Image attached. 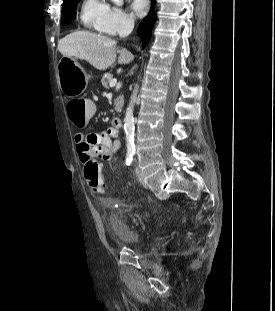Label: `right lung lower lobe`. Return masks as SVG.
I'll return each mask as SVG.
<instances>
[{
	"label": "right lung lower lobe",
	"mask_w": 275,
	"mask_h": 311,
	"mask_svg": "<svg viewBox=\"0 0 275 311\" xmlns=\"http://www.w3.org/2000/svg\"><path fill=\"white\" fill-rule=\"evenodd\" d=\"M154 15H155V0H152V7L149 11V14L147 17H145L142 22L140 23L138 27V33L140 37L143 39V48L148 44L150 36H151V30L154 23Z\"/></svg>",
	"instance_id": "obj_1"
}]
</instances>
